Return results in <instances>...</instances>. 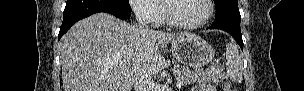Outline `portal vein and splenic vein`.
I'll use <instances>...</instances> for the list:
<instances>
[{
  "label": "portal vein and splenic vein",
  "mask_w": 304,
  "mask_h": 91,
  "mask_svg": "<svg viewBox=\"0 0 304 91\" xmlns=\"http://www.w3.org/2000/svg\"><path fill=\"white\" fill-rule=\"evenodd\" d=\"M181 85H182L181 82H178V83H177V86H181Z\"/></svg>",
  "instance_id": "obj_1"
}]
</instances>
